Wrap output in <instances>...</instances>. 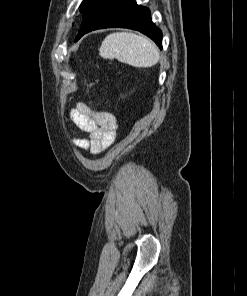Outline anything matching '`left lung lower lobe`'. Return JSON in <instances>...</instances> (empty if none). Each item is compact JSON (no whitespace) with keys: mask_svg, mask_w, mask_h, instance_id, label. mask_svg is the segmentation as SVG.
Here are the masks:
<instances>
[{"mask_svg":"<svg viewBox=\"0 0 247 296\" xmlns=\"http://www.w3.org/2000/svg\"><path fill=\"white\" fill-rule=\"evenodd\" d=\"M112 27L140 31L162 48V32L152 22L150 10L135 0H99L83 15L75 41L92 30Z\"/></svg>","mask_w":247,"mask_h":296,"instance_id":"1","label":"left lung lower lobe"}]
</instances>
